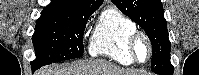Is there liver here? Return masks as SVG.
<instances>
[{
	"mask_svg": "<svg viewBox=\"0 0 199 75\" xmlns=\"http://www.w3.org/2000/svg\"><path fill=\"white\" fill-rule=\"evenodd\" d=\"M35 75H137L134 70L122 69L110 62L78 61L67 66H49L37 71Z\"/></svg>",
	"mask_w": 199,
	"mask_h": 75,
	"instance_id": "1",
	"label": "liver"
}]
</instances>
